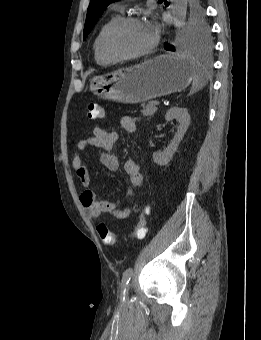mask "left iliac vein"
<instances>
[{"label":"left iliac vein","mask_w":261,"mask_h":340,"mask_svg":"<svg viewBox=\"0 0 261 340\" xmlns=\"http://www.w3.org/2000/svg\"><path fill=\"white\" fill-rule=\"evenodd\" d=\"M130 286H131V284H128V285L126 286V291H125V296H126V297H128Z\"/></svg>","instance_id":"1"}]
</instances>
